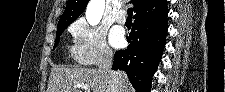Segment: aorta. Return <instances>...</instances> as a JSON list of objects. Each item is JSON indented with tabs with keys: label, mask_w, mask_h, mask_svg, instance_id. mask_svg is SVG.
Listing matches in <instances>:
<instances>
[{
	"label": "aorta",
	"mask_w": 225,
	"mask_h": 92,
	"mask_svg": "<svg viewBox=\"0 0 225 92\" xmlns=\"http://www.w3.org/2000/svg\"><path fill=\"white\" fill-rule=\"evenodd\" d=\"M105 0H91L86 8V19L92 26L97 25L104 13Z\"/></svg>",
	"instance_id": "762f6f07"
}]
</instances>
